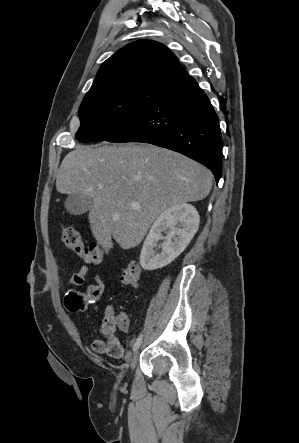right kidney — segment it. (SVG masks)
I'll return each mask as SVG.
<instances>
[{
  "label": "right kidney",
  "mask_w": 299,
  "mask_h": 443,
  "mask_svg": "<svg viewBox=\"0 0 299 443\" xmlns=\"http://www.w3.org/2000/svg\"><path fill=\"white\" fill-rule=\"evenodd\" d=\"M200 217L194 206L179 204L165 210L153 223L143 243L140 265L156 270L171 263L188 246L199 228ZM165 232L166 236L162 233ZM163 240L160 245L157 243Z\"/></svg>",
  "instance_id": "ca27d5eb"
}]
</instances>
